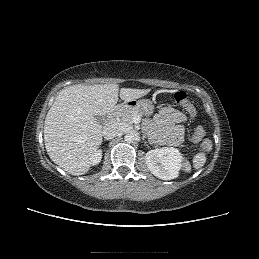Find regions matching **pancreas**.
<instances>
[{"label":"pancreas","instance_id":"pancreas-1","mask_svg":"<svg viewBox=\"0 0 259 259\" xmlns=\"http://www.w3.org/2000/svg\"><path fill=\"white\" fill-rule=\"evenodd\" d=\"M142 114L143 113L137 109L121 108L116 113V120L124 127H132L133 117L136 115L142 117Z\"/></svg>","mask_w":259,"mask_h":259}]
</instances>
